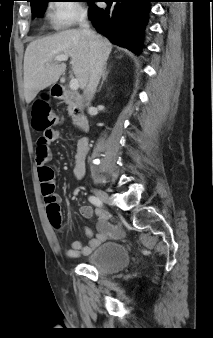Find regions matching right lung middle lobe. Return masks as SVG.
Instances as JSON below:
<instances>
[{
  "label": "right lung middle lobe",
  "instance_id": "obj_1",
  "mask_svg": "<svg viewBox=\"0 0 213 338\" xmlns=\"http://www.w3.org/2000/svg\"><path fill=\"white\" fill-rule=\"evenodd\" d=\"M29 1V0H28ZM51 0H30L31 3V11L34 16L41 17L44 14L46 4ZM85 2H90L91 0H82Z\"/></svg>",
  "mask_w": 213,
  "mask_h": 338
}]
</instances>
